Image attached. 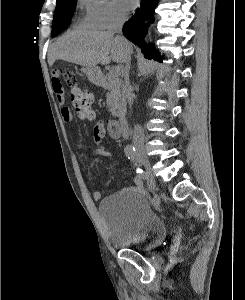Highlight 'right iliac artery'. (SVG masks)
<instances>
[{
    "mask_svg": "<svg viewBox=\"0 0 245 300\" xmlns=\"http://www.w3.org/2000/svg\"><path fill=\"white\" fill-rule=\"evenodd\" d=\"M124 152H125V154H126V156L128 157V159H130L131 161H133V163H134V166H137V163L135 162V159H136V149H135V147L134 146H132V145H128V146H126L125 147V149H124ZM137 173L139 174V176L140 177H143L144 175H143V170L142 169H140L139 167L137 168ZM143 182H148V190L149 191H155L156 190V187L155 186H153V183L152 182H150L151 181V178L150 177H143Z\"/></svg>",
    "mask_w": 245,
    "mask_h": 300,
    "instance_id": "1",
    "label": "right iliac artery"
}]
</instances>
